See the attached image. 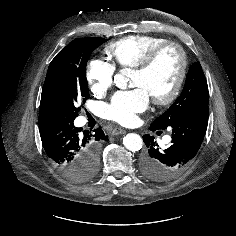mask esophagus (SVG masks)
<instances>
[{
  "label": "esophagus",
  "instance_id": "1",
  "mask_svg": "<svg viewBox=\"0 0 236 236\" xmlns=\"http://www.w3.org/2000/svg\"><path fill=\"white\" fill-rule=\"evenodd\" d=\"M126 130L120 127H117L113 130L112 134L113 135H120V134H125Z\"/></svg>",
  "mask_w": 236,
  "mask_h": 236
}]
</instances>
